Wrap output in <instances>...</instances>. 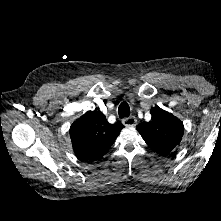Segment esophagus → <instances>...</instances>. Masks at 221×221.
Instances as JSON below:
<instances>
[{"mask_svg": "<svg viewBox=\"0 0 221 221\" xmlns=\"http://www.w3.org/2000/svg\"><path fill=\"white\" fill-rule=\"evenodd\" d=\"M122 122L126 127H135L137 124V120L134 116L125 118Z\"/></svg>", "mask_w": 221, "mask_h": 221, "instance_id": "1", "label": "esophagus"}]
</instances>
